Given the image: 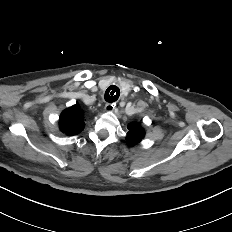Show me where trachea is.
I'll list each match as a JSON object with an SVG mask.
<instances>
[{
	"instance_id": "trachea-1",
	"label": "trachea",
	"mask_w": 232,
	"mask_h": 232,
	"mask_svg": "<svg viewBox=\"0 0 232 232\" xmlns=\"http://www.w3.org/2000/svg\"><path fill=\"white\" fill-rule=\"evenodd\" d=\"M119 96H120V89L115 85H111L107 88L104 98L107 102L112 103L117 101Z\"/></svg>"
}]
</instances>
